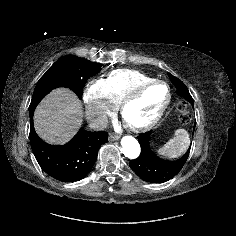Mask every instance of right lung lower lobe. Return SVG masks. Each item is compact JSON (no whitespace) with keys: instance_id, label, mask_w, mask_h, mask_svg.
<instances>
[{"instance_id":"1","label":"right lung lower lobe","mask_w":236,"mask_h":236,"mask_svg":"<svg viewBox=\"0 0 236 236\" xmlns=\"http://www.w3.org/2000/svg\"><path fill=\"white\" fill-rule=\"evenodd\" d=\"M35 108L29 109V137L32 151L42 170L61 182H75L83 179L95 164L99 147L108 141V133L80 129L65 145L48 144L35 132L33 125Z\"/></svg>"}]
</instances>
